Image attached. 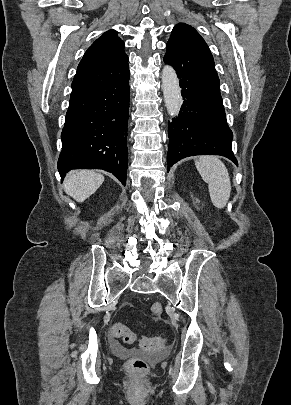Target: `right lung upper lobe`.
<instances>
[{
    "label": "right lung upper lobe",
    "mask_w": 291,
    "mask_h": 405,
    "mask_svg": "<svg viewBox=\"0 0 291 405\" xmlns=\"http://www.w3.org/2000/svg\"><path fill=\"white\" fill-rule=\"evenodd\" d=\"M124 42L115 30L105 32L85 52L72 82L71 97L105 82L114 81L129 71ZM70 97V98H71Z\"/></svg>",
    "instance_id": "right-lung-upper-lobe-1"
}]
</instances>
